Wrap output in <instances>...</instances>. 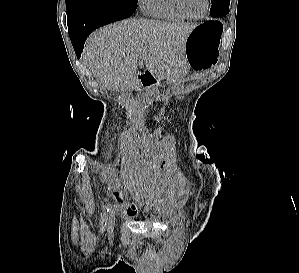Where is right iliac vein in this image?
Listing matches in <instances>:
<instances>
[{"mask_svg": "<svg viewBox=\"0 0 299 273\" xmlns=\"http://www.w3.org/2000/svg\"><path fill=\"white\" fill-rule=\"evenodd\" d=\"M114 222H115V213L114 211H112L109 215V220H108V228L109 230H111L114 226Z\"/></svg>", "mask_w": 299, "mask_h": 273, "instance_id": "63e3f726", "label": "right iliac vein"}]
</instances>
